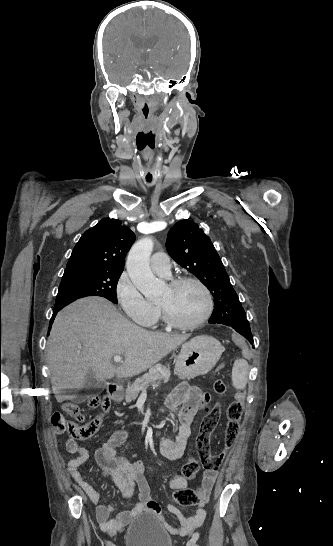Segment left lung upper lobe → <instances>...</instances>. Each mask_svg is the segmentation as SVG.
Wrapping results in <instances>:
<instances>
[{
    "instance_id": "left-lung-upper-lobe-1",
    "label": "left lung upper lobe",
    "mask_w": 333,
    "mask_h": 546,
    "mask_svg": "<svg viewBox=\"0 0 333 546\" xmlns=\"http://www.w3.org/2000/svg\"><path fill=\"white\" fill-rule=\"evenodd\" d=\"M166 247L180 266L200 279L214 297L210 319L229 325L246 319L223 263L210 238L191 220L177 222L169 231Z\"/></svg>"
}]
</instances>
